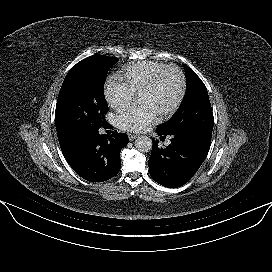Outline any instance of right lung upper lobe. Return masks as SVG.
<instances>
[{"label": "right lung upper lobe", "instance_id": "obj_1", "mask_svg": "<svg viewBox=\"0 0 272 272\" xmlns=\"http://www.w3.org/2000/svg\"><path fill=\"white\" fill-rule=\"evenodd\" d=\"M57 135L63 155H67L72 150V148L82 139L78 137L64 136L60 133H57Z\"/></svg>", "mask_w": 272, "mask_h": 272}]
</instances>
